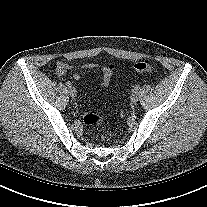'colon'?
Listing matches in <instances>:
<instances>
[{"mask_svg": "<svg viewBox=\"0 0 207 207\" xmlns=\"http://www.w3.org/2000/svg\"><path fill=\"white\" fill-rule=\"evenodd\" d=\"M133 70L137 73L152 75L154 68L151 64L146 62H137L133 66ZM102 117L95 112H87L83 115V123L86 126H98L102 123Z\"/></svg>", "mask_w": 207, "mask_h": 207, "instance_id": "obj_1", "label": "colon"}]
</instances>
